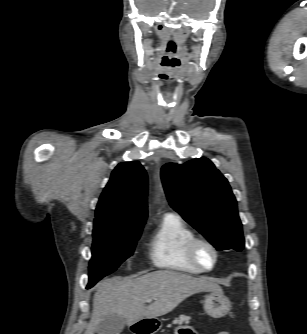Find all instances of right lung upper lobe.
I'll return each mask as SVG.
<instances>
[{
    "instance_id": "obj_1",
    "label": "right lung upper lobe",
    "mask_w": 307,
    "mask_h": 334,
    "mask_svg": "<svg viewBox=\"0 0 307 334\" xmlns=\"http://www.w3.org/2000/svg\"><path fill=\"white\" fill-rule=\"evenodd\" d=\"M147 187L146 171L138 161L118 164L97 204L93 230L144 225Z\"/></svg>"
}]
</instances>
